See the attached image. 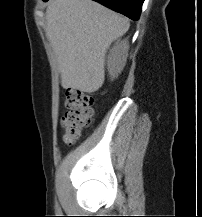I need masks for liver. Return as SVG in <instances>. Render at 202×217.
Instances as JSON below:
<instances>
[{
  "mask_svg": "<svg viewBox=\"0 0 202 217\" xmlns=\"http://www.w3.org/2000/svg\"><path fill=\"white\" fill-rule=\"evenodd\" d=\"M129 27L127 18L92 0H50L45 31L62 87L87 93L102 87L107 49Z\"/></svg>",
  "mask_w": 202,
  "mask_h": 217,
  "instance_id": "1",
  "label": "liver"
}]
</instances>
